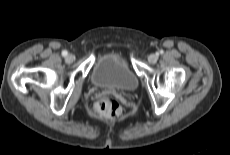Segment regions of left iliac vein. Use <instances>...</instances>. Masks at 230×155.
I'll return each mask as SVG.
<instances>
[{"label": "left iliac vein", "instance_id": "4c4485c4", "mask_svg": "<svg viewBox=\"0 0 230 155\" xmlns=\"http://www.w3.org/2000/svg\"><path fill=\"white\" fill-rule=\"evenodd\" d=\"M157 59H158V55L157 54H150L148 56V61L150 63H155L157 61Z\"/></svg>", "mask_w": 230, "mask_h": 155}]
</instances>
